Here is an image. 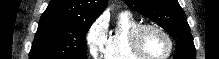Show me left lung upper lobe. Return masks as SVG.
I'll return each mask as SVG.
<instances>
[{"label": "left lung upper lobe", "instance_id": "left-lung-upper-lobe-1", "mask_svg": "<svg viewBox=\"0 0 219 59\" xmlns=\"http://www.w3.org/2000/svg\"><path fill=\"white\" fill-rule=\"evenodd\" d=\"M128 7L160 25L174 39L173 59H196L190 27L177 0H124Z\"/></svg>", "mask_w": 219, "mask_h": 59}]
</instances>
